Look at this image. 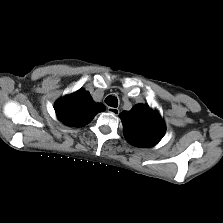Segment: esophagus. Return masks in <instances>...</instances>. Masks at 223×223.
I'll return each mask as SVG.
<instances>
[{
    "instance_id": "1",
    "label": "esophagus",
    "mask_w": 223,
    "mask_h": 223,
    "mask_svg": "<svg viewBox=\"0 0 223 223\" xmlns=\"http://www.w3.org/2000/svg\"><path fill=\"white\" fill-rule=\"evenodd\" d=\"M107 111L113 115H118L119 114V109L115 107H108Z\"/></svg>"
}]
</instances>
